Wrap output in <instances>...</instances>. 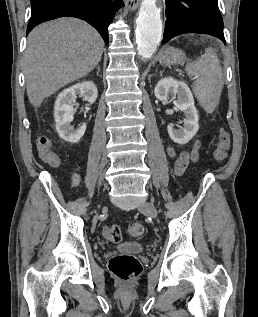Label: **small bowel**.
I'll return each instance as SVG.
<instances>
[{"mask_svg": "<svg viewBox=\"0 0 258 317\" xmlns=\"http://www.w3.org/2000/svg\"><path fill=\"white\" fill-rule=\"evenodd\" d=\"M37 149L39 154L41 151L45 150L47 152H54L52 148V141L49 137L42 135L37 139ZM200 147L199 141H195L192 148L190 150H185L181 152H177L172 146L168 147V154L170 157L175 158V173L177 175H181L189 163L195 162L198 158V149ZM80 181V177L78 174H73L72 183L74 186L78 185Z\"/></svg>", "mask_w": 258, "mask_h": 317, "instance_id": "small-bowel-1", "label": "small bowel"}]
</instances>
